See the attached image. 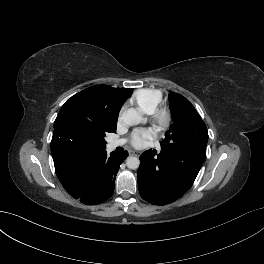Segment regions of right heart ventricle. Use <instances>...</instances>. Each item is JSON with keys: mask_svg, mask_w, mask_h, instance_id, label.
I'll return each mask as SVG.
<instances>
[{"mask_svg": "<svg viewBox=\"0 0 264 264\" xmlns=\"http://www.w3.org/2000/svg\"><path fill=\"white\" fill-rule=\"evenodd\" d=\"M162 92L158 89L144 88L137 90L132 102L144 113H153L162 101Z\"/></svg>", "mask_w": 264, "mask_h": 264, "instance_id": "e07e8e85", "label": "right heart ventricle"}]
</instances>
